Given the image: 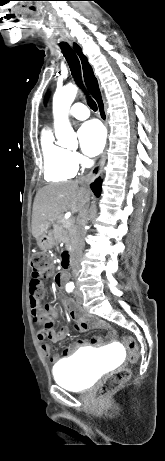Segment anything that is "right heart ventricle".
Here are the masks:
<instances>
[{"mask_svg": "<svg viewBox=\"0 0 165 461\" xmlns=\"http://www.w3.org/2000/svg\"><path fill=\"white\" fill-rule=\"evenodd\" d=\"M44 178L49 182H59L72 179L77 167L71 160L70 152L58 145L49 130L41 137Z\"/></svg>", "mask_w": 165, "mask_h": 461, "instance_id": "obj_1", "label": "right heart ventricle"}]
</instances>
